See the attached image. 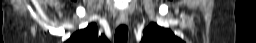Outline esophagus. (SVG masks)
<instances>
[{
  "label": "esophagus",
  "mask_w": 256,
  "mask_h": 43,
  "mask_svg": "<svg viewBox=\"0 0 256 43\" xmlns=\"http://www.w3.org/2000/svg\"><path fill=\"white\" fill-rule=\"evenodd\" d=\"M128 22V13L126 11H121L118 19L119 24H127Z\"/></svg>",
  "instance_id": "1"
}]
</instances>
